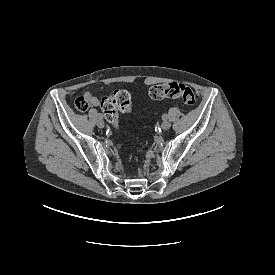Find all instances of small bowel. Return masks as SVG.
Segmentation results:
<instances>
[{"instance_id": "small-bowel-1", "label": "small bowel", "mask_w": 275, "mask_h": 275, "mask_svg": "<svg viewBox=\"0 0 275 275\" xmlns=\"http://www.w3.org/2000/svg\"><path fill=\"white\" fill-rule=\"evenodd\" d=\"M86 97L89 99V102L92 106H98L100 104V101L98 100V98H96L95 96H93L91 93H86Z\"/></svg>"}]
</instances>
